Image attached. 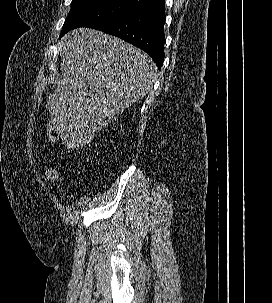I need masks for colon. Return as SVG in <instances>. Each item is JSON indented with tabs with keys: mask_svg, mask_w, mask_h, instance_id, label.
Returning a JSON list of instances; mask_svg holds the SVG:
<instances>
[{
	"mask_svg": "<svg viewBox=\"0 0 272 303\" xmlns=\"http://www.w3.org/2000/svg\"><path fill=\"white\" fill-rule=\"evenodd\" d=\"M47 135H48V139L51 143H56L58 141L59 129H58V125L55 121H51L48 124ZM43 175L48 181H55L56 179H58V176H59L58 169L53 164H50L45 167Z\"/></svg>",
	"mask_w": 272,
	"mask_h": 303,
	"instance_id": "obj_1",
	"label": "colon"
}]
</instances>
